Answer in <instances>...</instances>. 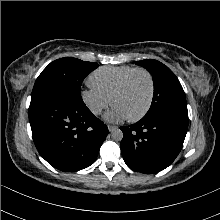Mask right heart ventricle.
I'll return each instance as SVG.
<instances>
[{
	"instance_id": "1",
	"label": "right heart ventricle",
	"mask_w": 220,
	"mask_h": 220,
	"mask_svg": "<svg viewBox=\"0 0 220 220\" xmlns=\"http://www.w3.org/2000/svg\"><path fill=\"white\" fill-rule=\"evenodd\" d=\"M132 66H106L93 71L88 77L90 86L96 88L101 93L111 98L113 91L124 79V77L134 70Z\"/></svg>"
}]
</instances>
